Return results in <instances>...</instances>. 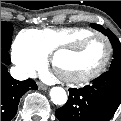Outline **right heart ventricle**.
Here are the masks:
<instances>
[{"label": "right heart ventricle", "mask_w": 121, "mask_h": 121, "mask_svg": "<svg viewBox=\"0 0 121 121\" xmlns=\"http://www.w3.org/2000/svg\"><path fill=\"white\" fill-rule=\"evenodd\" d=\"M59 34L51 28L24 30L19 36L18 44L41 54H48L59 49Z\"/></svg>", "instance_id": "e07e8e85"}]
</instances>
